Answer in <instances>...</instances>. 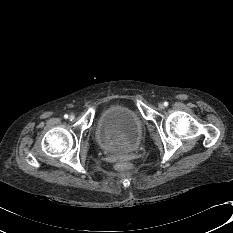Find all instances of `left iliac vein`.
<instances>
[{
    "instance_id": "obj_1",
    "label": "left iliac vein",
    "mask_w": 233,
    "mask_h": 233,
    "mask_svg": "<svg viewBox=\"0 0 233 233\" xmlns=\"http://www.w3.org/2000/svg\"><path fill=\"white\" fill-rule=\"evenodd\" d=\"M159 109H164L165 105L163 103L158 104Z\"/></svg>"
}]
</instances>
